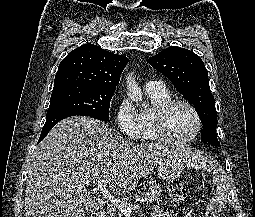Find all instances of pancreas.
Instances as JSON below:
<instances>
[{"label":"pancreas","mask_w":255,"mask_h":217,"mask_svg":"<svg viewBox=\"0 0 255 217\" xmlns=\"http://www.w3.org/2000/svg\"><path fill=\"white\" fill-rule=\"evenodd\" d=\"M162 193V187L159 185H155L149 188V190L145 193V196L147 198V203L151 204L155 201H157L158 197ZM106 213L108 214V217H122L119 210L111 205L107 208Z\"/></svg>","instance_id":"cf45deb5"}]
</instances>
